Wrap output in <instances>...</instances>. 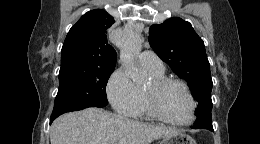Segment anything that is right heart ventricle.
<instances>
[{
	"label": "right heart ventricle",
	"instance_id": "right-heart-ventricle-1",
	"mask_svg": "<svg viewBox=\"0 0 260 144\" xmlns=\"http://www.w3.org/2000/svg\"><path fill=\"white\" fill-rule=\"evenodd\" d=\"M153 79L164 77V72H156L145 68ZM137 102L132 112L129 114L133 118H151L152 115L148 109L145 97V88L135 85Z\"/></svg>",
	"mask_w": 260,
	"mask_h": 144
}]
</instances>
